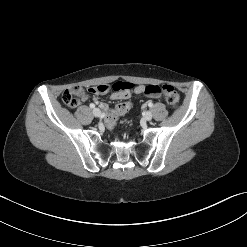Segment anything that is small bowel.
<instances>
[{
    "label": "small bowel",
    "mask_w": 247,
    "mask_h": 247,
    "mask_svg": "<svg viewBox=\"0 0 247 247\" xmlns=\"http://www.w3.org/2000/svg\"><path fill=\"white\" fill-rule=\"evenodd\" d=\"M127 83H129V82H127ZM139 85H144V84H139ZM137 86L138 85H135V88L134 89H129L127 87V88H123V89H120V90H113V92L110 95V98L112 100H128L134 94H143V95L147 96V92H138L137 91ZM155 86L156 87H159L157 85H155ZM82 98H83V100L86 99L85 96H83Z\"/></svg>",
    "instance_id": "1"
}]
</instances>
